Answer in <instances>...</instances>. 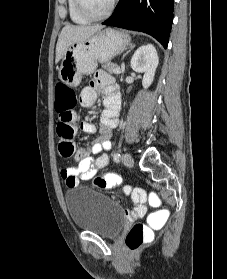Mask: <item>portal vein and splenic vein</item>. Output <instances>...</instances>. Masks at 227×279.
<instances>
[{"label": "portal vein and splenic vein", "mask_w": 227, "mask_h": 279, "mask_svg": "<svg viewBox=\"0 0 227 279\" xmlns=\"http://www.w3.org/2000/svg\"><path fill=\"white\" fill-rule=\"evenodd\" d=\"M114 72L116 74H120L121 73V69L119 67H117V68L114 69Z\"/></svg>", "instance_id": "obj_1"}]
</instances>
